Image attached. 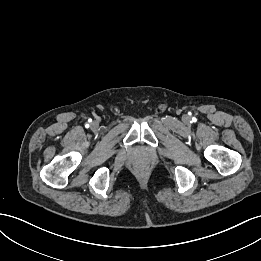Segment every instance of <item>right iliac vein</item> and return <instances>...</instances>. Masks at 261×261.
<instances>
[{
    "label": "right iliac vein",
    "instance_id": "63e3f726",
    "mask_svg": "<svg viewBox=\"0 0 261 261\" xmlns=\"http://www.w3.org/2000/svg\"><path fill=\"white\" fill-rule=\"evenodd\" d=\"M92 126H93V127H97V122H93V123H92Z\"/></svg>",
    "mask_w": 261,
    "mask_h": 261
}]
</instances>
